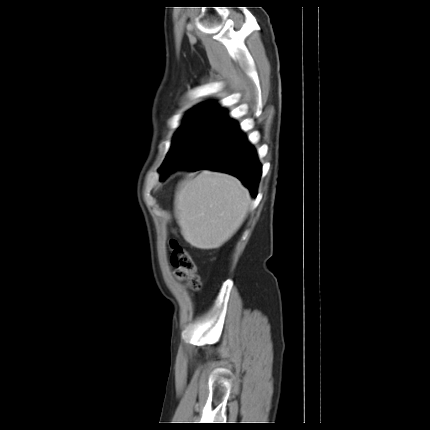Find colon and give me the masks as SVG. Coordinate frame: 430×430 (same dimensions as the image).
Returning <instances> with one entry per match:
<instances>
[{
	"instance_id": "1",
	"label": "colon",
	"mask_w": 430,
	"mask_h": 430,
	"mask_svg": "<svg viewBox=\"0 0 430 430\" xmlns=\"http://www.w3.org/2000/svg\"><path fill=\"white\" fill-rule=\"evenodd\" d=\"M170 261L178 280L185 281L193 290L201 287L199 276L196 273L195 263L190 253L177 241H170Z\"/></svg>"
}]
</instances>
